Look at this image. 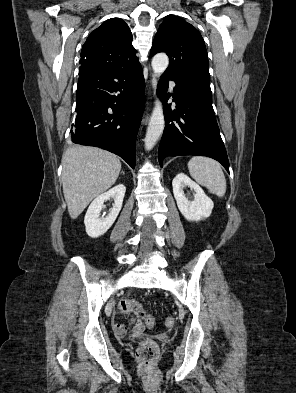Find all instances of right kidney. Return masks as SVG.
I'll list each match as a JSON object with an SVG mask.
<instances>
[{
	"label": "right kidney",
	"instance_id": "right-kidney-1",
	"mask_svg": "<svg viewBox=\"0 0 296 393\" xmlns=\"http://www.w3.org/2000/svg\"><path fill=\"white\" fill-rule=\"evenodd\" d=\"M125 192L126 187L123 184H119L93 200L84 218L88 236L91 238L102 236L113 225L121 210ZM110 198L114 200L113 207L108 216L100 218V212L104 207V202Z\"/></svg>",
	"mask_w": 296,
	"mask_h": 393
}]
</instances>
